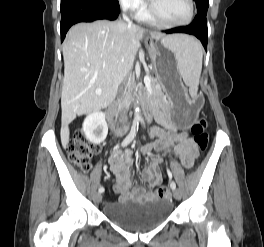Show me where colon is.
I'll return each mask as SVG.
<instances>
[{
    "label": "colon",
    "mask_w": 264,
    "mask_h": 247,
    "mask_svg": "<svg viewBox=\"0 0 264 247\" xmlns=\"http://www.w3.org/2000/svg\"><path fill=\"white\" fill-rule=\"evenodd\" d=\"M194 142L200 150H205L208 145L207 121L203 118L195 121L191 128ZM99 147L88 141L83 134L79 133L69 143L68 154L71 162L83 171L91 167V159L98 152ZM159 198H165L169 195V189L166 186H159L155 190Z\"/></svg>",
    "instance_id": "1"
}]
</instances>
